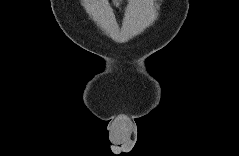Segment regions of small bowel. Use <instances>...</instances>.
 <instances>
[{
	"instance_id": "1",
	"label": "small bowel",
	"mask_w": 239,
	"mask_h": 156,
	"mask_svg": "<svg viewBox=\"0 0 239 156\" xmlns=\"http://www.w3.org/2000/svg\"><path fill=\"white\" fill-rule=\"evenodd\" d=\"M116 6H119L120 5V2H115L114 3Z\"/></svg>"
}]
</instances>
